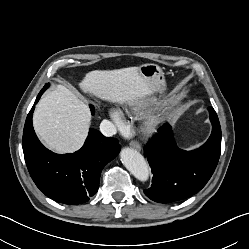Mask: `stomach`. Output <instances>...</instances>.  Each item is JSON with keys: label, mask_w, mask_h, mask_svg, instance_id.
<instances>
[{"label": "stomach", "mask_w": 249, "mask_h": 249, "mask_svg": "<svg viewBox=\"0 0 249 249\" xmlns=\"http://www.w3.org/2000/svg\"><path fill=\"white\" fill-rule=\"evenodd\" d=\"M144 80L154 89L160 92L165 90V79L162 69L153 63L142 64L136 67Z\"/></svg>", "instance_id": "1"}]
</instances>
